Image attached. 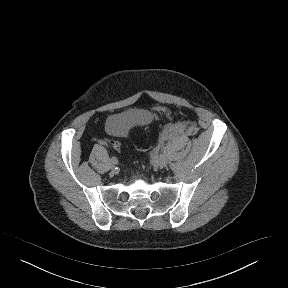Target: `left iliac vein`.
Listing matches in <instances>:
<instances>
[{
	"mask_svg": "<svg viewBox=\"0 0 288 288\" xmlns=\"http://www.w3.org/2000/svg\"><path fill=\"white\" fill-rule=\"evenodd\" d=\"M166 163H167V160L164 156L154 159V164L158 168H163L166 165Z\"/></svg>",
	"mask_w": 288,
	"mask_h": 288,
	"instance_id": "4c4485c4",
	"label": "left iliac vein"
}]
</instances>
